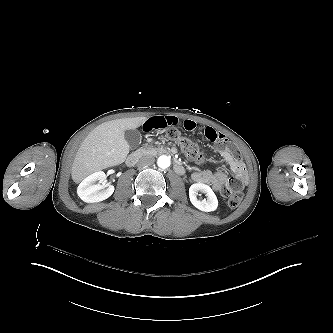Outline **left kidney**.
I'll list each match as a JSON object with an SVG mask.
<instances>
[{
  "label": "left kidney",
  "mask_w": 333,
  "mask_h": 333,
  "mask_svg": "<svg viewBox=\"0 0 333 333\" xmlns=\"http://www.w3.org/2000/svg\"><path fill=\"white\" fill-rule=\"evenodd\" d=\"M201 191L202 193H205L207 196V199L204 200H198L197 194ZM189 197L191 203L199 210L204 212H211L215 211L218 207V200L213 192V190L206 184L203 183H195L192 184L189 188Z\"/></svg>",
  "instance_id": "left-kidney-1"
}]
</instances>
